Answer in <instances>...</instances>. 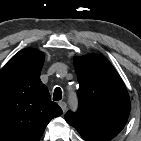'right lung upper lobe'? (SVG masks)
Segmentation results:
<instances>
[{
	"label": "right lung upper lobe",
	"instance_id": "1",
	"mask_svg": "<svg viewBox=\"0 0 141 141\" xmlns=\"http://www.w3.org/2000/svg\"><path fill=\"white\" fill-rule=\"evenodd\" d=\"M44 58L26 48L0 71V141H39L50 120L62 114L40 80Z\"/></svg>",
	"mask_w": 141,
	"mask_h": 141
}]
</instances>
